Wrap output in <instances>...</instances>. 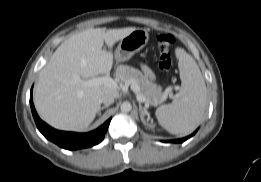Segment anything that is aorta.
<instances>
[{
    "mask_svg": "<svg viewBox=\"0 0 261 182\" xmlns=\"http://www.w3.org/2000/svg\"><path fill=\"white\" fill-rule=\"evenodd\" d=\"M120 109L122 112L127 113V112L131 111L132 106H131L130 102H123Z\"/></svg>",
    "mask_w": 261,
    "mask_h": 182,
    "instance_id": "1",
    "label": "aorta"
}]
</instances>
